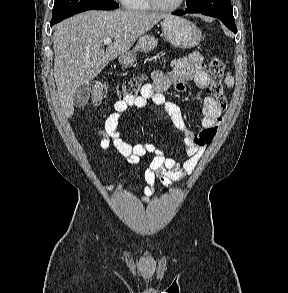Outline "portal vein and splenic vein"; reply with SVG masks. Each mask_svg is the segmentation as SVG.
Here are the masks:
<instances>
[{
  "label": "portal vein and splenic vein",
  "mask_w": 288,
  "mask_h": 293,
  "mask_svg": "<svg viewBox=\"0 0 288 293\" xmlns=\"http://www.w3.org/2000/svg\"><path fill=\"white\" fill-rule=\"evenodd\" d=\"M103 43L105 45H109L110 43H112V38H106V39H104Z\"/></svg>",
  "instance_id": "obj_1"
}]
</instances>
